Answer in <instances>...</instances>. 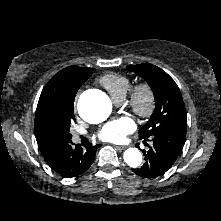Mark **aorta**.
Returning a JSON list of instances; mask_svg holds the SVG:
<instances>
[{
    "label": "aorta",
    "mask_w": 221,
    "mask_h": 221,
    "mask_svg": "<svg viewBox=\"0 0 221 221\" xmlns=\"http://www.w3.org/2000/svg\"><path fill=\"white\" fill-rule=\"evenodd\" d=\"M111 110V101L103 93L83 95L78 101V112L89 123L104 121L110 115ZM123 157L126 164L133 168L138 167L142 162V155L137 148H128Z\"/></svg>",
    "instance_id": "1"
}]
</instances>
